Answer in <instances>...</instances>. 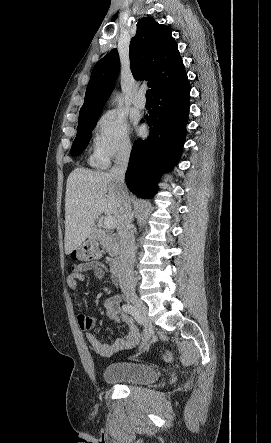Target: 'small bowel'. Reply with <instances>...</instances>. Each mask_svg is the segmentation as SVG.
Returning <instances> with one entry per match:
<instances>
[{"label": "small bowel", "mask_w": 271, "mask_h": 443, "mask_svg": "<svg viewBox=\"0 0 271 443\" xmlns=\"http://www.w3.org/2000/svg\"><path fill=\"white\" fill-rule=\"evenodd\" d=\"M90 271H92L98 279H102L107 272L105 265L99 261L79 264L67 278L68 287L75 289L77 287V281H84L86 273ZM103 307L111 319L124 324L128 331L124 337L117 338L111 343L102 342L92 333L95 325L94 318L80 314L78 316V323L91 349L101 356L109 357L119 351L135 347L140 340L139 330L133 319L126 312L122 311L123 308L121 309L119 297L114 295L106 299Z\"/></svg>", "instance_id": "1"}]
</instances>
